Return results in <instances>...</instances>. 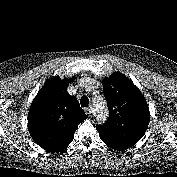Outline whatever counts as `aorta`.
I'll list each match as a JSON object with an SVG mask.
<instances>
[{"mask_svg":"<svg viewBox=\"0 0 177 177\" xmlns=\"http://www.w3.org/2000/svg\"><path fill=\"white\" fill-rule=\"evenodd\" d=\"M94 106H95L96 111L98 113V118L100 120H105L107 109H106V102L103 100V98L102 97L95 98Z\"/></svg>","mask_w":177,"mask_h":177,"instance_id":"aorta-1","label":"aorta"}]
</instances>
